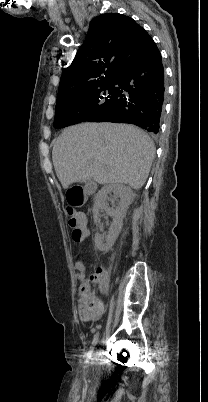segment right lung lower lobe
I'll list each match as a JSON object with an SVG mask.
<instances>
[{
    "label": "right lung lower lobe",
    "instance_id": "1",
    "mask_svg": "<svg viewBox=\"0 0 208 402\" xmlns=\"http://www.w3.org/2000/svg\"><path fill=\"white\" fill-rule=\"evenodd\" d=\"M114 83L117 93L113 108L87 121L129 123L157 134L165 100L164 69L161 54L148 33L128 57ZM66 126L69 124L59 128Z\"/></svg>",
    "mask_w": 208,
    "mask_h": 402
}]
</instances>
